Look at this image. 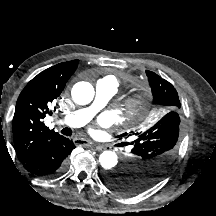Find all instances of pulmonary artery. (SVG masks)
<instances>
[{"label": "pulmonary artery", "mask_w": 216, "mask_h": 216, "mask_svg": "<svg viewBox=\"0 0 216 216\" xmlns=\"http://www.w3.org/2000/svg\"><path fill=\"white\" fill-rule=\"evenodd\" d=\"M117 91V83L112 76L99 79L95 86L93 103L83 109L76 110L59 122L68 127H82L102 109Z\"/></svg>", "instance_id": "1"}]
</instances>
